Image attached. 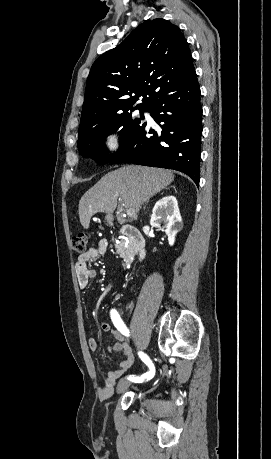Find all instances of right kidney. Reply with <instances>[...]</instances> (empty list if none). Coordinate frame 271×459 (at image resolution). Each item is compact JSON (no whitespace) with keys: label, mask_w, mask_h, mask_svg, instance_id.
<instances>
[{"label":"right kidney","mask_w":271,"mask_h":459,"mask_svg":"<svg viewBox=\"0 0 271 459\" xmlns=\"http://www.w3.org/2000/svg\"><path fill=\"white\" fill-rule=\"evenodd\" d=\"M162 222L164 224L162 228L168 235V241L170 245H173L176 233L183 228L177 200L174 196H165V198L156 202L152 210L151 226L153 228H161Z\"/></svg>","instance_id":"ca27d5eb"}]
</instances>
